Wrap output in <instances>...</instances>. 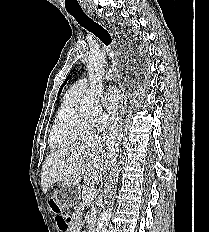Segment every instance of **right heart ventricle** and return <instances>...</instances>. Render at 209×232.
Segmentation results:
<instances>
[{
  "label": "right heart ventricle",
  "mask_w": 209,
  "mask_h": 232,
  "mask_svg": "<svg viewBox=\"0 0 209 232\" xmlns=\"http://www.w3.org/2000/svg\"><path fill=\"white\" fill-rule=\"evenodd\" d=\"M84 94L70 88L56 113L50 135L49 145L53 149H63L86 141L95 134V125L88 130L81 126L83 116L79 104Z\"/></svg>",
  "instance_id": "1"
}]
</instances>
